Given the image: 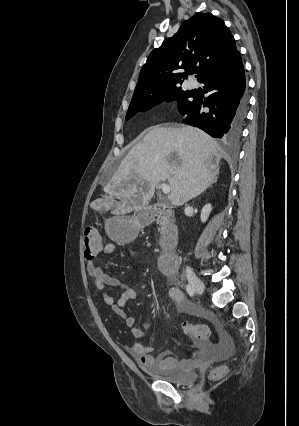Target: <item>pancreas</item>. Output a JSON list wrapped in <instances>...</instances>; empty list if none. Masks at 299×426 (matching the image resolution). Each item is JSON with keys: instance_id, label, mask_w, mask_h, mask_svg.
<instances>
[{"instance_id": "cf45deb5", "label": "pancreas", "mask_w": 299, "mask_h": 426, "mask_svg": "<svg viewBox=\"0 0 299 426\" xmlns=\"http://www.w3.org/2000/svg\"><path fill=\"white\" fill-rule=\"evenodd\" d=\"M157 223L160 225V227L158 228V231L161 234H163L167 230V227H169V226L172 227L173 226L172 223H169V220L166 217H164V216L158 217Z\"/></svg>"}]
</instances>
